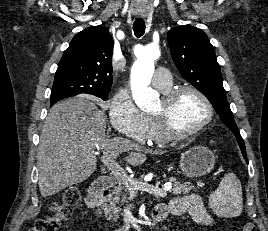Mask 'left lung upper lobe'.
<instances>
[{
    "label": "left lung upper lobe",
    "mask_w": 268,
    "mask_h": 231,
    "mask_svg": "<svg viewBox=\"0 0 268 231\" xmlns=\"http://www.w3.org/2000/svg\"><path fill=\"white\" fill-rule=\"evenodd\" d=\"M167 38L171 56L181 75L209 99L223 123L236 136L240 149H245L226 99L215 50L207 35L196 27L184 25L172 28Z\"/></svg>",
    "instance_id": "1"
}]
</instances>
